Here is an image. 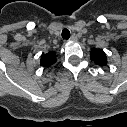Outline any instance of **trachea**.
<instances>
[{
	"mask_svg": "<svg viewBox=\"0 0 127 127\" xmlns=\"http://www.w3.org/2000/svg\"><path fill=\"white\" fill-rule=\"evenodd\" d=\"M62 38L65 40L70 38V31L68 29L65 28L62 30Z\"/></svg>",
	"mask_w": 127,
	"mask_h": 127,
	"instance_id": "trachea-1",
	"label": "trachea"
}]
</instances>
